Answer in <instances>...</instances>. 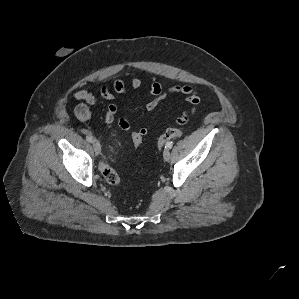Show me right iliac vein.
<instances>
[{
  "mask_svg": "<svg viewBox=\"0 0 299 299\" xmlns=\"http://www.w3.org/2000/svg\"><path fill=\"white\" fill-rule=\"evenodd\" d=\"M92 145H93V149H94L95 153L97 155L100 154L101 153V145H100V143L97 140H93Z\"/></svg>",
  "mask_w": 299,
  "mask_h": 299,
  "instance_id": "1",
  "label": "right iliac vein"
}]
</instances>
